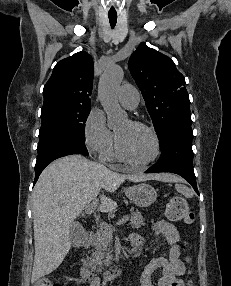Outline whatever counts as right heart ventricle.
I'll list each match as a JSON object with an SVG mask.
<instances>
[{"mask_svg":"<svg viewBox=\"0 0 231 286\" xmlns=\"http://www.w3.org/2000/svg\"><path fill=\"white\" fill-rule=\"evenodd\" d=\"M101 157L102 159L107 160V161H113L118 158L113 147H111L105 153H103Z\"/></svg>","mask_w":231,"mask_h":286,"instance_id":"right-heart-ventricle-1","label":"right heart ventricle"}]
</instances>
